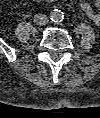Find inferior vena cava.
I'll return each mask as SVG.
<instances>
[{
	"label": "inferior vena cava",
	"instance_id": "obj_1",
	"mask_svg": "<svg viewBox=\"0 0 100 118\" xmlns=\"http://www.w3.org/2000/svg\"><path fill=\"white\" fill-rule=\"evenodd\" d=\"M49 22V19L44 14H36L34 16V23L40 26L46 25Z\"/></svg>",
	"mask_w": 100,
	"mask_h": 118
}]
</instances>
